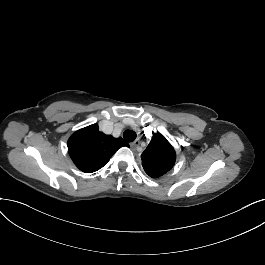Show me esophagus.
Instances as JSON below:
<instances>
[{"instance_id": "esophagus-1", "label": "esophagus", "mask_w": 265, "mask_h": 265, "mask_svg": "<svg viewBox=\"0 0 265 265\" xmlns=\"http://www.w3.org/2000/svg\"><path fill=\"white\" fill-rule=\"evenodd\" d=\"M140 144V140L139 139H136L134 142L130 143V148L135 151L137 149V147L139 146Z\"/></svg>"}]
</instances>
